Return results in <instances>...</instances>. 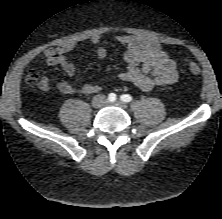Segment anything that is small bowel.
Segmentation results:
<instances>
[{"mask_svg": "<svg viewBox=\"0 0 222 219\" xmlns=\"http://www.w3.org/2000/svg\"><path fill=\"white\" fill-rule=\"evenodd\" d=\"M116 41L126 47L124 60L126 70L116 74V78L127 81L143 91L175 83L178 79L177 63L163 49L158 41L136 35H117ZM92 43L99 58L106 56V48L100 36H94ZM75 48L73 42L50 48L41 54V60L49 65H58L70 76L77 75L76 66L68 59V54ZM38 88L47 92L52 88L51 79L43 75L38 81ZM56 89L62 94H94L100 86L94 83H81L75 87L67 81H61Z\"/></svg>", "mask_w": 222, "mask_h": 219, "instance_id": "small-bowel-1", "label": "small bowel"}]
</instances>
